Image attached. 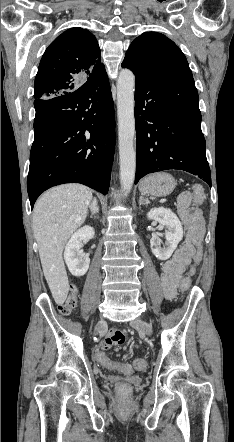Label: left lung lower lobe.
<instances>
[{
    "label": "left lung lower lobe",
    "instance_id": "left-lung-lower-lobe-1",
    "mask_svg": "<svg viewBox=\"0 0 234 442\" xmlns=\"http://www.w3.org/2000/svg\"><path fill=\"white\" fill-rule=\"evenodd\" d=\"M135 76V184L146 174L180 169L198 175L211 186L193 77Z\"/></svg>",
    "mask_w": 234,
    "mask_h": 442
}]
</instances>
